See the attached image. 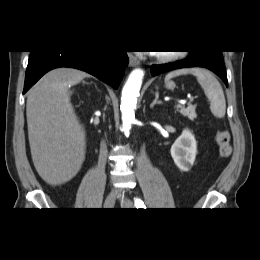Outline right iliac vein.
<instances>
[{
    "instance_id": "63e3f726",
    "label": "right iliac vein",
    "mask_w": 260,
    "mask_h": 260,
    "mask_svg": "<svg viewBox=\"0 0 260 260\" xmlns=\"http://www.w3.org/2000/svg\"><path fill=\"white\" fill-rule=\"evenodd\" d=\"M117 197H118L117 192H111L105 199L104 207L105 208H112L115 204Z\"/></svg>"
}]
</instances>
